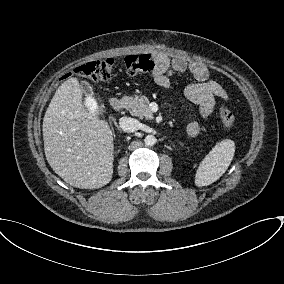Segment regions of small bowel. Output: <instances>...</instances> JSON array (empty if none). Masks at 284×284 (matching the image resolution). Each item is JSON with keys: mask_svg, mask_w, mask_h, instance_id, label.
<instances>
[{"mask_svg": "<svg viewBox=\"0 0 284 284\" xmlns=\"http://www.w3.org/2000/svg\"><path fill=\"white\" fill-rule=\"evenodd\" d=\"M155 69L152 72L154 83L167 88L170 85V78L174 73H189L194 82L186 86L185 97L199 106L200 114L204 119H209L215 110L216 99L227 100L228 95L220 83L210 79L208 68L200 62H188L180 57H170L165 53L155 52ZM186 132L189 136L195 137L200 133V126L197 123L188 125Z\"/></svg>", "mask_w": 284, "mask_h": 284, "instance_id": "c3829d8e", "label": "small bowel"}]
</instances>
